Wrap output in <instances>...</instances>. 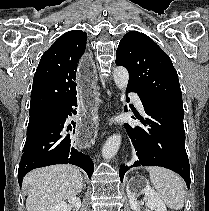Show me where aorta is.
<instances>
[{
  "instance_id": "1",
  "label": "aorta",
  "mask_w": 209,
  "mask_h": 211,
  "mask_svg": "<svg viewBox=\"0 0 209 211\" xmlns=\"http://www.w3.org/2000/svg\"><path fill=\"white\" fill-rule=\"evenodd\" d=\"M113 77L115 84L121 91H125L128 85L129 73L125 67L119 66L114 69ZM121 144V135L114 134L110 136L103 148L102 155L105 159H110L115 156Z\"/></svg>"
}]
</instances>
